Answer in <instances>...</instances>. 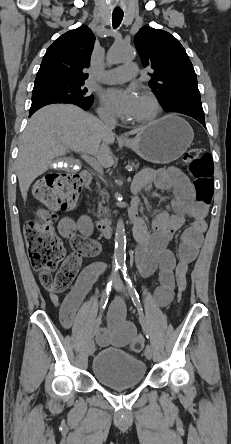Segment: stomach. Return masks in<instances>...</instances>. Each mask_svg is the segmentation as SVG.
I'll use <instances>...</instances> for the list:
<instances>
[{
	"label": "stomach",
	"instance_id": "obj_1",
	"mask_svg": "<svg viewBox=\"0 0 231 444\" xmlns=\"http://www.w3.org/2000/svg\"><path fill=\"white\" fill-rule=\"evenodd\" d=\"M193 138L191 126L171 114L145 126L126 146L144 160L167 164L181 157Z\"/></svg>",
	"mask_w": 231,
	"mask_h": 444
}]
</instances>
